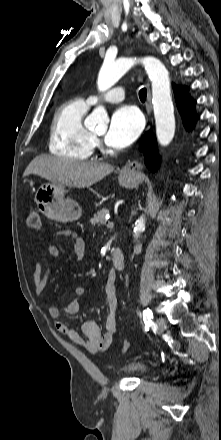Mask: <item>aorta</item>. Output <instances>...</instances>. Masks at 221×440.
Here are the masks:
<instances>
[{
  "label": "aorta",
  "instance_id": "1",
  "mask_svg": "<svg viewBox=\"0 0 221 440\" xmlns=\"http://www.w3.org/2000/svg\"><path fill=\"white\" fill-rule=\"evenodd\" d=\"M141 63L152 82V103L156 123V136L158 142L166 146L175 134V117L170 90L169 73L165 66L155 57L121 58L111 63H104L98 76V89L106 91L111 88L134 64ZM108 115L103 106H98L88 116L89 125H106ZM145 228V219L140 217L134 228V235Z\"/></svg>",
  "mask_w": 221,
  "mask_h": 440
}]
</instances>
